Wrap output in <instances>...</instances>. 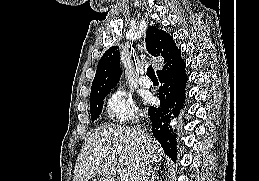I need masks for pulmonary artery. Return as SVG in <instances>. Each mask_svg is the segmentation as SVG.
<instances>
[{"label": "pulmonary artery", "mask_w": 259, "mask_h": 181, "mask_svg": "<svg viewBox=\"0 0 259 181\" xmlns=\"http://www.w3.org/2000/svg\"><path fill=\"white\" fill-rule=\"evenodd\" d=\"M139 84L142 86V87H145V88H149L152 84L151 80L148 79L146 76L144 75H141L139 77Z\"/></svg>", "instance_id": "obj_1"}]
</instances>
